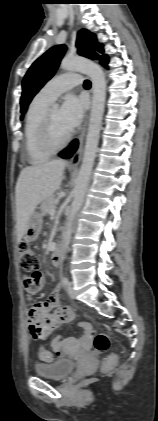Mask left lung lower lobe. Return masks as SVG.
Here are the masks:
<instances>
[{"label":"left lung lower lobe","instance_id":"left-lung-lower-lobe-1","mask_svg":"<svg viewBox=\"0 0 158 421\" xmlns=\"http://www.w3.org/2000/svg\"><path fill=\"white\" fill-rule=\"evenodd\" d=\"M107 63H108V57L105 56L102 59L101 64L103 66L107 67ZM77 147H78V141L74 140L67 150H64V151L59 153V156H61L62 158H65V159L70 158L73 155V153L76 151Z\"/></svg>","mask_w":158,"mask_h":421}]
</instances>
